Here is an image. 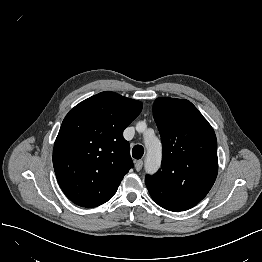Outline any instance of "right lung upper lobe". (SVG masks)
Returning a JSON list of instances; mask_svg holds the SVG:
<instances>
[{"label":"right lung upper lobe","mask_w":262,"mask_h":262,"mask_svg":"<svg viewBox=\"0 0 262 262\" xmlns=\"http://www.w3.org/2000/svg\"><path fill=\"white\" fill-rule=\"evenodd\" d=\"M141 110L140 101L105 91L66 115L54 144L53 166L72 202L96 207L112 198L133 168L123 131Z\"/></svg>","instance_id":"obj_1"}]
</instances>
